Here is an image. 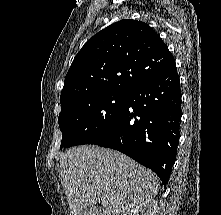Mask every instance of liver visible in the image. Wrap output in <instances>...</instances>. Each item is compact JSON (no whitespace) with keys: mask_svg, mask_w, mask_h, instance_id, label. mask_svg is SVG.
<instances>
[{"mask_svg":"<svg viewBox=\"0 0 221 215\" xmlns=\"http://www.w3.org/2000/svg\"><path fill=\"white\" fill-rule=\"evenodd\" d=\"M59 170L71 215H83L101 197L100 215H122L154 198L160 188L151 170L125 154L97 146L68 149Z\"/></svg>","mask_w":221,"mask_h":215,"instance_id":"6515ba94","label":"liver"}]
</instances>
